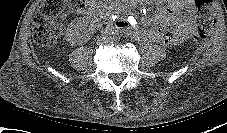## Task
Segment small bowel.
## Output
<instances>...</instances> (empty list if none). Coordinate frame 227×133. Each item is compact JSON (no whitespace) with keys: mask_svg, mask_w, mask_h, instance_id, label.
<instances>
[{"mask_svg":"<svg viewBox=\"0 0 227 133\" xmlns=\"http://www.w3.org/2000/svg\"><path fill=\"white\" fill-rule=\"evenodd\" d=\"M166 3V7L150 19L149 27L145 30L136 29L137 20L134 17L120 22L134 38H144L164 45L178 44L196 29L194 0H166Z\"/></svg>","mask_w":227,"mask_h":133,"instance_id":"c3829d8e","label":"small bowel"}]
</instances>
